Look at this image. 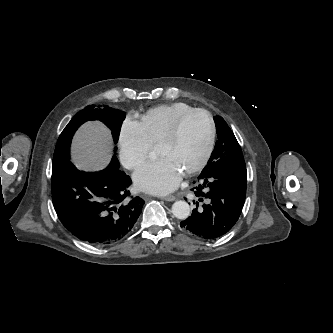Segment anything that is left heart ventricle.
<instances>
[{"label":"left heart ventricle","mask_w":333,"mask_h":333,"mask_svg":"<svg viewBox=\"0 0 333 333\" xmlns=\"http://www.w3.org/2000/svg\"><path fill=\"white\" fill-rule=\"evenodd\" d=\"M208 138L207 117L194 114L183 123L176 140L158 147V155L169 158L184 173L201 159Z\"/></svg>","instance_id":"obj_1"}]
</instances>
